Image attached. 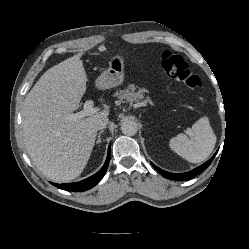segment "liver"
<instances>
[{
    "label": "liver",
    "instance_id": "obj_1",
    "mask_svg": "<svg viewBox=\"0 0 249 249\" xmlns=\"http://www.w3.org/2000/svg\"><path fill=\"white\" fill-rule=\"evenodd\" d=\"M81 53L48 69L27 94L22 108L27 152L47 178L67 182L85 168L97 136L94 122L104 109L87 118L68 117L80 106L88 81Z\"/></svg>",
    "mask_w": 249,
    "mask_h": 249
}]
</instances>
